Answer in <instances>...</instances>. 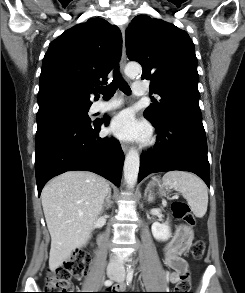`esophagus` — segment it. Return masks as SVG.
I'll return each instance as SVG.
<instances>
[{"label": "esophagus", "instance_id": "34e87169", "mask_svg": "<svg viewBox=\"0 0 245 293\" xmlns=\"http://www.w3.org/2000/svg\"><path fill=\"white\" fill-rule=\"evenodd\" d=\"M121 33H122V54H121V60H120V71L123 74L124 67L126 65V45H125V28L121 26ZM122 150L124 153H126L129 149V145L126 143L121 144Z\"/></svg>", "mask_w": 245, "mask_h": 293}]
</instances>
